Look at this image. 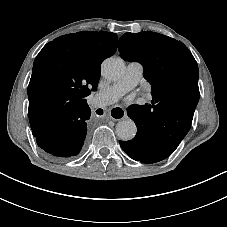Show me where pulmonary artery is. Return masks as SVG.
<instances>
[{"instance_id":"obj_1","label":"pulmonary artery","mask_w":227,"mask_h":227,"mask_svg":"<svg viewBox=\"0 0 227 227\" xmlns=\"http://www.w3.org/2000/svg\"><path fill=\"white\" fill-rule=\"evenodd\" d=\"M142 75L143 66L139 62L128 63L123 76L116 83L95 94L91 100V106L94 108H102L112 105L135 86L137 89L144 92L151 91V82L142 79Z\"/></svg>"}]
</instances>
